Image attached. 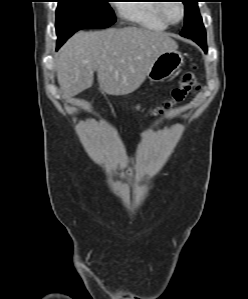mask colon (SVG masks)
Returning <instances> with one entry per match:
<instances>
[{"mask_svg":"<svg viewBox=\"0 0 248 299\" xmlns=\"http://www.w3.org/2000/svg\"><path fill=\"white\" fill-rule=\"evenodd\" d=\"M200 87L199 76L195 71L185 73L182 76L179 85L171 91L170 97L156 107L154 113L163 114L174 106L191 99Z\"/></svg>","mask_w":248,"mask_h":299,"instance_id":"5ec220e1","label":"colon"}]
</instances>
